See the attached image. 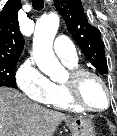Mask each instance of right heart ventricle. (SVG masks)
<instances>
[{"mask_svg": "<svg viewBox=\"0 0 117 136\" xmlns=\"http://www.w3.org/2000/svg\"><path fill=\"white\" fill-rule=\"evenodd\" d=\"M70 68H76V64H67ZM48 104L67 111L80 112L67 97L65 89L62 84H54L52 95L49 99Z\"/></svg>", "mask_w": 117, "mask_h": 136, "instance_id": "1", "label": "right heart ventricle"}]
</instances>
